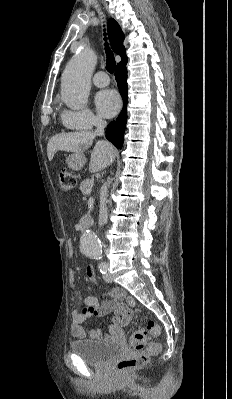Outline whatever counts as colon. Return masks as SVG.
Returning <instances> with one entry per match:
<instances>
[{
    "mask_svg": "<svg viewBox=\"0 0 232 399\" xmlns=\"http://www.w3.org/2000/svg\"><path fill=\"white\" fill-rule=\"evenodd\" d=\"M60 168H65V163H60ZM73 185L75 180L72 173L56 170V186H61V191L73 190ZM161 332L158 321H149L148 326H135L133 334H129V340H124L122 353H147V341H154ZM144 364L145 359L141 355H120L119 374H134V368Z\"/></svg>",
    "mask_w": 232,
    "mask_h": 399,
    "instance_id": "colon-1",
    "label": "colon"
}]
</instances>
